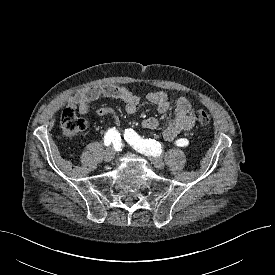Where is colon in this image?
I'll return each instance as SVG.
<instances>
[{
    "mask_svg": "<svg viewBox=\"0 0 275 275\" xmlns=\"http://www.w3.org/2000/svg\"><path fill=\"white\" fill-rule=\"evenodd\" d=\"M193 117L195 121L201 125L206 126L210 123V116L205 110H197ZM61 130L66 138H74L86 128V121L78 117L74 110L67 108L63 111L61 116Z\"/></svg>",
    "mask_w": 275,
    "mask_h": 275,
    "instance_id": "obj_1",
    "label": "colon"
}]
</instances>
